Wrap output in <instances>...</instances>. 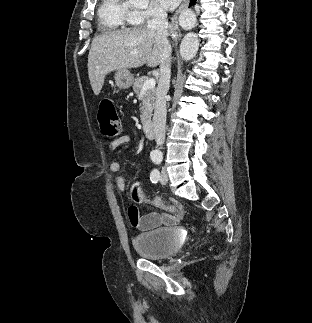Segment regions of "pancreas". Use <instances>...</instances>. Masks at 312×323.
I'll use <instances>...</instances> for the list:
<instances>
[{"label": "pancreas", "instance_id": "cf45deb5", "mask_svg": "<svg viewBox=\"0 0 312 323\" xmlns=\"http://www.w3.org/2000/svg\"><path fill=\"white\" fill-rule=\"evenodd\" d=\"M147 80H149L147 76H141V78H137V80H135L133 84V90L135 94H137V96H139V98H141L142 100L140 104V112H141L140 118L142 122H150L153 116L152 112L154 110L155 100H156L155 88H149V90H146L144 94H141V90L145 82H147Z\"/></svg>", "mask_w": 312, "mask_h": 323}]
</instances>
